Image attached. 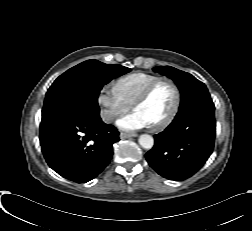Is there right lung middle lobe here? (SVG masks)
I'll list each match as a JSON object with an SVG mask.
<instances>
[{
	"label": "right lung middle lobe",
	"instance_id": "right-lung-middle-lobe-1",
	"mask_svg": "<svg viewBox=\"0 0 252 231\" xmlns=\"http://www.w3.org/2000/svg\"><path fill=\"white\" fill-rule=\"evenodd\" d=\"M128 72L127 67L98 60L78 64L59 76L48 89L42 117L64 108L99 113L97 98L102 87Z\"/></svg>",
	"mask_w": 252,
	"mask_h": 231
}]
</instances>
